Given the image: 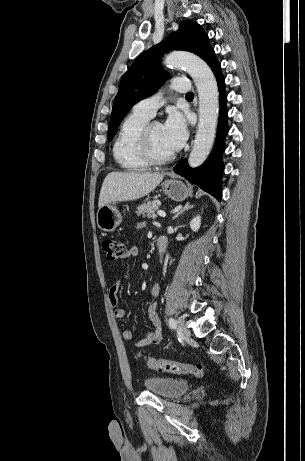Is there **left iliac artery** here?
<instances>
[{
  "instance_id": "left-iliac-artery-1",
  "label": "left iliac artery",
  "mask_w": 305,
  "mask_h": 461,
  "mask_svg": "<svg viewBox=\"0 0 305 461\" xmlns=\"http://www.w3.org/2000/svg\"><path fill=\"white\" fill-rule=\"evenodd\" d=\"M168 322H169L170 328H172V329H176V328H177V321H176L174 318H170V319L168 320Z\"/></svg>"
}]
</instances>
